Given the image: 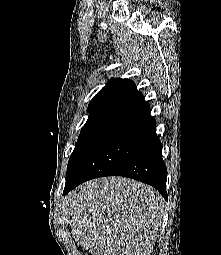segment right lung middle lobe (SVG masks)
I'll list each match as a JSON object with an SVG mask.
<instances>
[{
    "label": "right lung middle lobe",
    "instance_id": "obj_1",
    "mask_svg": "<svg viewBox=\"0 0 221 255\" xmlns=\"http://www.w3.org/2000/svg\"><path fill=\"white\" fill-rule=\"evenodd\" d=\"M115 108H105L95 111H90L89 118L81 130L75 149L67 166V175L72 171L78 159L90 145L94 137L107 122L110 116L115 112Z\"/></svg>",
    "mask_w": 221,
    "mask_h": 255
}]
</instances>
